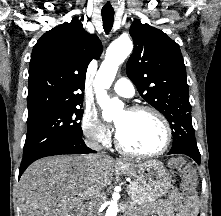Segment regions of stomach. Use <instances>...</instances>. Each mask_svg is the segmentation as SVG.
I'll use <instances>...</instances> for the list:
<instances>
[{"instance_id": "0dacf381", "label": "stomach", "mask_w": 221, "mask_h": 216, "mask_svg": "<svg viewBox=\"0 0 221 216\" xmlns=\"http://www.w3.org/2000/svg\"><path fill=\"white\" fill-rule=\"evenodd\" d=\"M155 197H162L171 189V177L163 164L156 160L128 163L119 168Z\"/></svg>"}]
</instances>
